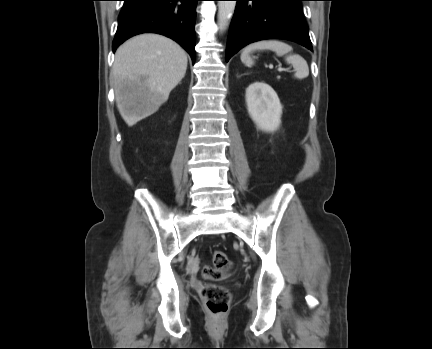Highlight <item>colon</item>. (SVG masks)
<instances>
[{
    "instance_id": "5ec220e1",
    "label": "colon",
    "mask_w": 432,
    "mask_h": 349,
    "mask_svg": "<svg viewBox=\"0 0 432 349\" xmlns=\"http://www.w3.org/2000/svg\"><path fill=\"white\" fill-rule=\"evenodd\" d=\"M213 266L216 270L227 272L232 268V263L222 251H214L212 254ZM203 296L206 299L207 307L213 315H223L229 307L230 293L216 286H206L203 289Z\"/></svg>"
}]
</instances>
